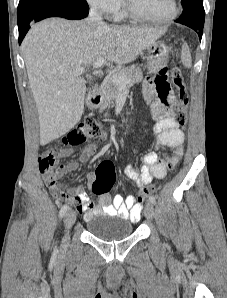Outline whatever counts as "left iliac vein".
<instances>
[{"label":"left iliac vein","mask_w":227,"mask_h":298,"mask_svg":"<svg viewBox=\"0 0 227 298\" xmlns=\"http://www.w3.org/2000/svg\"><path fill=\"white\" fill-rule=\"evenodd\" d=\"M144 215L148 220H152L154 217V207L151 202H147L144 208Z\"/></svg>","instance_id":"4c4485c4"}]
</instances>
